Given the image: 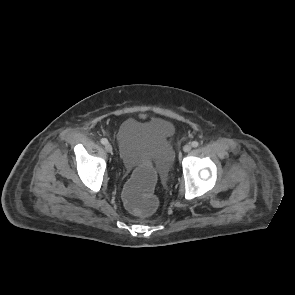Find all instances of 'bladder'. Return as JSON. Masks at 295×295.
<instances>
[{"mask_svg": "<svg viewBox=\"0 0 295 295\" xmlns=\"http://www.w3.org/2000/svg\"><path fill=\"white\" fill-rule=\"evenodd\" d=\"M174 133L170 121L161 117L129 118L117 131L121 151L126 158L124 166H149L162 178L171 173L172 150L169 139Z\"/></svg>", "mask_w": 295, "mask_h": 295, "instance_id": "31cf9c89", "label": "bladder"}]
</instances>
